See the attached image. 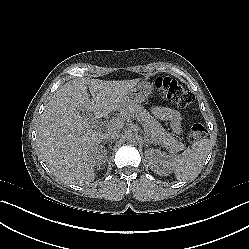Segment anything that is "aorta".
Instances as JSON below:
<instances>
[{
    "instance_id": "762f6f07",
    "label": "aorta",
    "mask_w": 249,
    "mask_h": 249,
    "mask_svg": "<svg viewBox=\"0 0 249 249\" xmlns=\"http://www.w3.org/2000/svg\"><path fill=\"white\" fill-rule=\"evenodd\" d=\"M139 139V136L136 133H129L126 137V141L129 144H136Z\"/></svg>"
}]
</instances>
